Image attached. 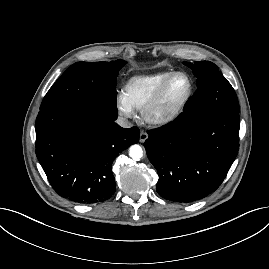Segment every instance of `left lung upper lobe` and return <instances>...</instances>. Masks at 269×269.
Segmentation results:
<instances>
[{
    "instance_id": "5c2ea615",
    "label": "left lung upper lobe",
    "mask_w": 269,
    "mask_h": 269,
    "mask_svg": "<svg viewBox=\"0 0 269 269\" xmlns=\"http://www.w3.org/2000/svg\"><path fill=\"white\" fill-rule=\"evenodd\" d=\"M183 63L193 70L197 77L198 89L189 98L179 117L190 119L222 110L239 112L234 89L214 63L209 61Z\"/></svg>"
}]
</instances>
